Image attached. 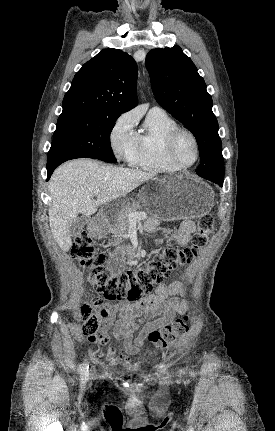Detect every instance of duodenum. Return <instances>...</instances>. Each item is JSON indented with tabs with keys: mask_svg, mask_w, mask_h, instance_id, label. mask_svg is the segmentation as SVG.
<instances>
[{
	"mask_svg": "<svg viewBox=\"0 0 275 431\" xmlns=\"http://www.w3.org/2000/svg\"><path fill=\"white\" fill-rule=\"evenodd\" d=\"M102 232H103V221L102 219H98L96 223L92 226V233L95 236L99 237L102 235ZM127 252L129 257L132 258L133 256H135V251L132 248H128Z\"/></svg>",
	"mask_w": 275,
	"mask_h": 431,
	"instance_id": "duodenum-1",
	"label": "duodenum"
}]
</instances>
